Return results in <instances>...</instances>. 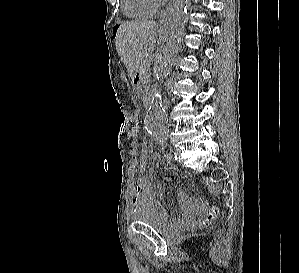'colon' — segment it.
<instances>
[{
    "label": "colon",
    "mask_w": 299,
    "mask_h": 273,
    "mask_svg": "<svg viewBox=\"0 0 299 273\" xmlns=\"http://www.w3.org/2000/svg\"><path fill=\"white\" fill-rule=\"evenodd\" d=\"M142 149H148V140L146 137H142L140 139ZM219 210L216 206H209L206 209L205 217H204V222H211L215 220L218 216Z\"/></svg>",
    "instance_id": "5ec220e1"
}]
</instances>
